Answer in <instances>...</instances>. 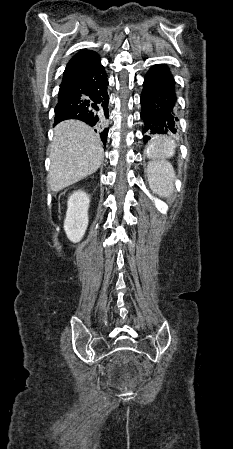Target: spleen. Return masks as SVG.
Listing matches in <instances>:
<instances>
[{"mask_svg": "<svg viewBox=\"0 0 233 449\" xmlns=\"http://www.w3.org/2000/svg\"><path fill=\"white\" fill-rule=\"evenodd\" d=\"M159 157H165L174 152V141L163 144H154ZM147 177L151 190L160 197L171 196L174 189L175 173L171 165L163 160L153 161L147 167Z\"/></svg>", "mask_w": 233, "mask_h": 449, "instance_id": "1", "label": "spleen"}]
</instances>
